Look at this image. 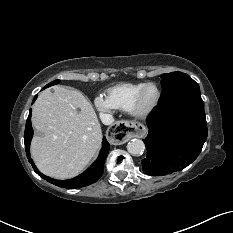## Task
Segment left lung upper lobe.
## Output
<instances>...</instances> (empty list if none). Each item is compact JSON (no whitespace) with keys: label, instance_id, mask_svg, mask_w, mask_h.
<instances>
[{"label":"left lung upper lobe","instance_id":"1","mask_svg":"<svg viewBox=\"0 0 233 233\" xmlns=\"http://www.w3.org/2000/svg\"><path fill=\"white\" fill-rule=\"evenodd\" d=\"M161 78L163 93L160 103L186 91L200 90L199 85L190 76L182 72L163 74Z\"/></svg>","mask_w":233,"mask_h":233}]
</instances>
